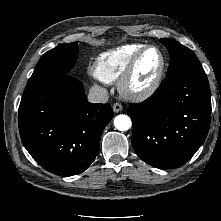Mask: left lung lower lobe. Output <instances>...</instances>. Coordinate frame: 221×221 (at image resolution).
Returning a JSON list of instances; mask_svg holds the SVG:
<instances>
[{
    "label": "left lung lower lobe",
    "instance_id": "obj_1",
    "mask_svg": "<svg viewBox=\"0 0 221 221\" xmlns=\"http://www.w3.org/2000/svg\"><path fill=\"white\" fill-rule=\"evenodd\" d=\"M132 145L147 164L171 169L185 164L206 139L211 95L200 64L188 65L161 82L157 91L127 109Z\"/></svg>",
    "mask_w": 221,
    "mask_h": 221
}]
</instances>
